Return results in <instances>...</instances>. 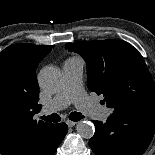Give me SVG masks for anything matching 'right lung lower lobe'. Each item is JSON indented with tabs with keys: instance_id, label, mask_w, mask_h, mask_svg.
Masks as SVG:
<instances>
[{
	"instance_id": "right-lung-lower-lobe-1",
	"label": "right lung lower lobe",
	"mask_w": 155,
	"mask_h": 155,
	"mask_svg": "<svg viewBox=\"0 0 155 155\" xmlns=\"http://www.w3.org/2000/svg\"><path fill=\"white\" fill-rule=\"evenodd\" d=\"M67 132L68 128L65 123L55 124L53 135L47 144L43 155H53Z\"/></svg>"
}]
</instances>
